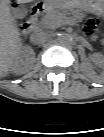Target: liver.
<instances>
[{
  "label": "liver",
  "mask_w": 104,
  "mask_h": 137,
  "mask_svg": "<svg viewBox=\"0 0 104 137\" xmlns=\"http://www.w3.org/2000/svg\"><path fill=\"white\" fill-rule=\"evenodd\" d=\"M33 1L16 0L19 4ZM8 2L9 0H1L0 8V73L2 76L8 71L10 59L17 54L21 45L18 28L9 12Z\"/></svg>",
  "instance_id": "liver-1"
}]
</instances>
